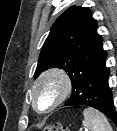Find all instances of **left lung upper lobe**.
<instances>
[{
    "label": "left lung upper lobe",
    "instance_id": "obj_1",
    "mask_svg": "<svg viewBox=\"0 0 117 131\" xmlns=\"http://www.w3.org/2000/svg\"><path fill=\"white\" fill-rule=\"evenodd\" d=\"M102 41L91 11L70 7L53 24L41 49L34 77L50 67L62 68L68 72L75 90L107 55Z\"/></svg>",
    "mask_w": 117,
    "mask_h": 131
}]
</instances>
